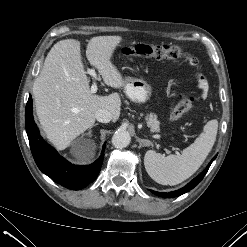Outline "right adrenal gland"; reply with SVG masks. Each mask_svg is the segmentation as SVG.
Listing matches in <instances>:
<instances>
[{
    "instance_id": "right-adrenal-gland-1",
    "label": "right adrenal gland",
    "mask_w": 247,
    "mask_h": 247,
    "mask_svg": "<svg viewBox=\"0 0 247 247\" xmlns=\"http://www.w3.org/2000/svg\"><path fill=\"white\" fill-rule=\"evenodd\" d=\"M98 125V123H96V124H94L91 128H90V130L87 132V134L89 135V136H91L92 134V128L93 127H95V126H97Z\"/></svg>"
}]
</instances>
